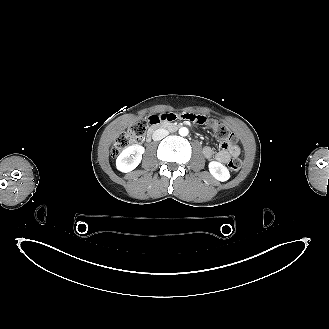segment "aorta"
<instances>
[{
	"instance_id": "1",
	"label": "aorta",
	"mask_w": 329,
	"mask_h": 329,
	"mask_svg": "<svg viewBox=\"0 0 329 329\" xmlns=\"http://www.w3.org/2000/svg\"><path fill=\"white\" fill-rule=\"evenodd\" d=\"M188 133H189V130L186 127H181L179 129V135H181V136H187Z\"/></svg>"
}]
</instances>
